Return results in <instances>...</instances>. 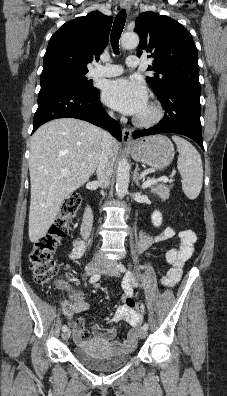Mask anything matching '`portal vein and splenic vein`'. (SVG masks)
Returning a JSON list of instances; mask_svg holds the SVG:
<instances>
[{
	"instance_id": "obj_1",
	"label": "portal vein and splenic vein",
	"mask_w": 227,
	"mask_h": 396,
	"mask_svg": "<svg viewBox=\"0 0 227 396\" xmlns=\"http://www.w3.org/2000/svg\"><path fill=\"white\" fill-rule=\"evenodd\" d=\"M175 175V170L172 171L170 177H173ZM168 178L166 176L160 177L158 179H149L146 182L143 183L142 188H147L151 185H153L156 182H167Z\"/></svg>"
}]
</instances>
